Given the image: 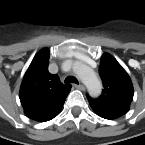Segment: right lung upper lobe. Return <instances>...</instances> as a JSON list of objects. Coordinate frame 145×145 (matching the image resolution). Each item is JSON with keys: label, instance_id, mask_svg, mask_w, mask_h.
I'll list each match as a JSON object with an SVG mask.
<instances>
[{"label": "right lung upper lobe", "instance_id": "right-lung-upper-lobe-1", "mask_svg": "<svg viewBox=\"0 0 145 145\" xmlns=\"http://www.w3.org/2000/svg\"><path fill=\"white\" fill-rule=\"evenodd\" d=\"M49 50L42 49L32 60L20 88V101L27 117L45 122L61 110L71 85L48 71Z\"/></svg>", "mask_w": 145, "mask_h": 145}]
</instances>
